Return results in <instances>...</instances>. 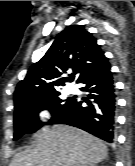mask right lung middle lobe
Returning a JSON list of instances; mask_svg holds the SVG:
<instances>
[{
	"instance_id": "right-lung-middle-lobe-1",
	"label": "right lung middle lobe",
	"mask_w": 135,
	"mask_h": 166,
	"mask_svg": "<svg viewBox=\"0 0 135 166\" xmlns=\"http://www.w3.org/2000/svg\"><path fill=\"white\" fill-rule=\"evenodd\" d=\"M59 95L60 93H57L45 100L16 109L14 113L15 132L13 140L19 139L23 134L35 132L43 125L38 117L40 111L49 110L52 114L49 123H52L56 117L62 114L71 105L74 97L63 100Z\"/></svg>"
}]
</instances>
